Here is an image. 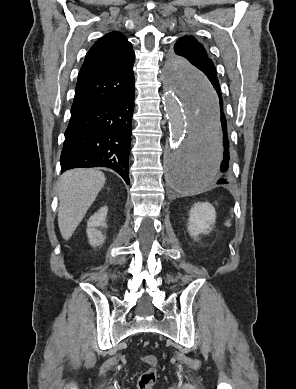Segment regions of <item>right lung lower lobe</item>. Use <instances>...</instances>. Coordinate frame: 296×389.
I'll use <instances>...</instances> for the list:
<instances>
[{
	"label": "right lung lower lobe",
	"mask_w": 296,
	"mask_h": 389,
	"mask_svg": "<svg viewBox=\"0 0 296 389\" xmlns=\"http://www.w3.org/2000/svg\"><path fill=\"white\" fill-rule=\"evenodd\" d=\"M134 81L119 97L71 113L61 153V172L72 168L108 167L129 184L128 158Z\"/></svg>",
	"instance_id": "right-lung-lower-lobe-1"
}]
</instances>
